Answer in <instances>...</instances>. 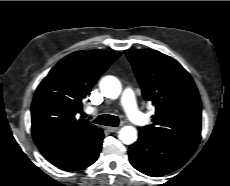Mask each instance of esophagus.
Segmentation results:
<instances>
[{
  "mask_svg": "<svg viewBox=\"0 0 230 186\" xmlns=\"http://www.w3.org/2000/svg\"><path fill=\"white\" fill-rule=\"evenodd\" d=\"M120 129V127H107V130L109 131V132H116V131H118Z\"/></svg>",
  "mask_w": 230,
  "mask_h": 186,
  "instance_id": "1",
  "label": "esophagus"
}]
</instances>
